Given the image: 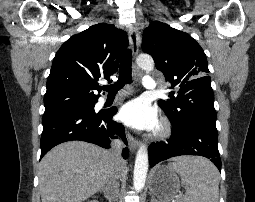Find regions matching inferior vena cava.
Masks as SVG:
<instances>
[{"label":"inferior vena cava","mask_w":255,"mask_h":202,"mask_svg":"<svg viewBox=\"0 0 255 202\" xmlns=\"http://www.w3.org/2000/svg\"><path fill=\"white\" fill-rule=\"evenodd\" d=\"M123 148V144L121 141H114L112 143V154L117 160V167L111 177L108 179V181L105 184L104 190L106 191V194L111 198L115 199L119 192V178L122 173L121 165L124 163L122 157H121V150Z\"/></svg>","instance_id":"inferior-vena-cava-1"}]
</instances>
